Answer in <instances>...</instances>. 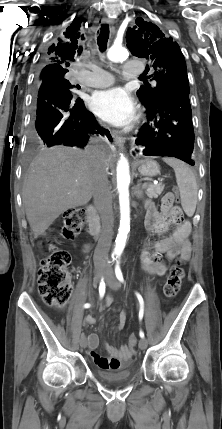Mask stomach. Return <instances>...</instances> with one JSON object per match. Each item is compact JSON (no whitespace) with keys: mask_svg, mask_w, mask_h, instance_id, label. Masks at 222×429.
Here are the masks:
<instances>
[{"mask_svg":"<svg viewBox=\"0 0 222 429\" xmlns=\"http://www.w3.org/2000/svg\"><path fill=\"white\" fill-rule=\"evenodd\" d=\"M138 171L143 176H157L160 173L159 164L152 159L141 160L137 163Z\"/></svg>","mask_w":222,"mask_h":429,"instance_id":"0dacf381","label":"stomach"}]
</instances>
